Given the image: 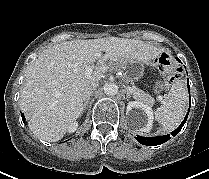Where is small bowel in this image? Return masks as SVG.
<instances>
[{"label":"small bowel","mask_w":209,"mask_h":179,"mask_svg":"<svg viewBox=\"0 0 209 179\" xmlns=\"http://www.w3.org/2000/svg\"><path fill=\"white\" fill-rule=\"evenodd\" d=\"M163 86H162V84H159L158 85V89H161Z\"/></svg>","instance_id":"c3829d8e"}]
</instances>
